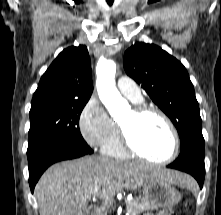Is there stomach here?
Instances as JSON below:
<instances>
[{
  "label": "stomach",
  "instance_id": "1",
  "mask_svg": "<svg viewBox=\"0 0 221 215\" xmlns=\"http://www.w3.org/2000/svg\"><path fill=\"white\" fill-rule=\"evenodd\" d=\"M144 199L155 208H170L175 206L181 199L175 187L162 179H152L143 185Z\"/></svg>",
  "mask_w": 221,
  "mask_h": 215
}]
</instances>
